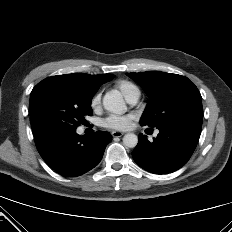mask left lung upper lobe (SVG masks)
Segmentation results:
<instances>
[{"label": "left lung upper lobe", "instance_id": "left-lung-upper-lobe-1", "mask_svg": "<svg viewBox=\"0 0 232 232\" xmlns=\"http://www.w3.org/2000/svg\"><path fill=\"white\" fill-rule=\"evenodd\" d=\"M129 76L150 97L141 125L157 128L178 118L202 117L201 94L188 78L160 71L130 73Z\"/></svg>", "mask_w": 232, "mask_h": 232}]
</instances>
